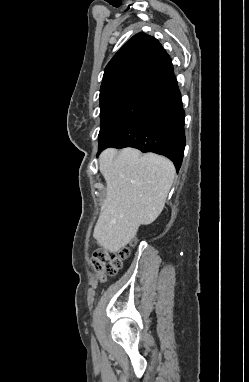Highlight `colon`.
<instances>
[{
    "label": "colon",
    "mask_w": 249,
    "mask_h": 382,
    "mask_svg": "<svg viewBox=\"0 0 249 382\" xmlns=\"http://www.w3.org/2000/svg\"><path fill=\"white\" fill-rule=\"evenodd\" d=\"M128 254V248H122L117 252L98 249L92 255L91 264L94 270L101 274L115 275L121 269L122 261Z\"/></svg>",
    "instance_id": "obj_1"
}]
</instances>
